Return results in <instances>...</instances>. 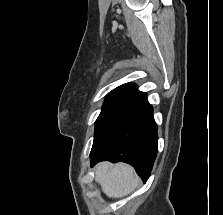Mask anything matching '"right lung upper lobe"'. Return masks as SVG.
<instances>
[{"label": "right lung upper lobe", "mask_w": 223, "mask_h": 215, "mask_svg": "<svg viewBox=\"0 0 223 215\" xmlns=\"http://www.w3.org/2000/svg\"><path fill=\"white\" fill-rule=\"evenodd\" d=\"M117 92H126V93H130V94L141 95V96L146 97V93L139 91L137 89V86L132 83H128V84L119 86L116 89L112 90L110 93H117Z\"/></svg>", "instance_id": "1"}]
</instances>
